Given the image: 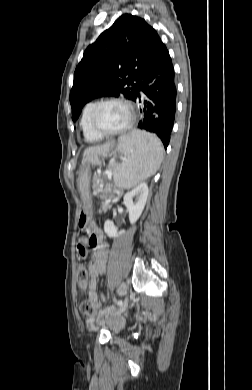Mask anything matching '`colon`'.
<instances>
[{"label": "colon", "mask_w": 252, "mask_h": 390, "mask_svg": "<svg viewBox=\"0 0 252 390\" xmlns=\"http://www.w3.org/2000/svg\"><path fill=\"white\" fill-rule=\"evenodd\" d=\"M76 279H77V283L81 289L84 290L87 288L88 282H89V272H88L87 268L82 263H80L78 268H77ZM102 298L105 299V295H103ZM79 308H80V311L82 313H85V314L94 313V305L90 299H84L80 303Z\"/></svg>", "instance_id": "1"}]
</instances>
